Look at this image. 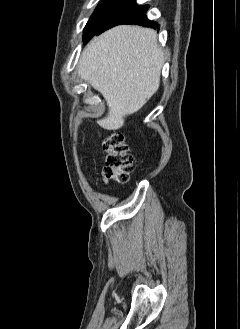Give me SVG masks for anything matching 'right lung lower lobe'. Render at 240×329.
<instances>
[{"mask_svg": "<svg viewBox=\"0 0 240 329\" xmlns=\"http://www.w3.org/2000/svg\"><path fill=\"white\" fill-rule=\"evenodd\" d=\"M148 8V5L137 6L135 0H121L102 20L93 36L120 24H138L159 29L156 22L147 19L146 12Z\"/></svg>", "mask_w": 240, "mask_h": 329, "instance_id": "1", "label": "right lung lower lobe"}]
</instances>
